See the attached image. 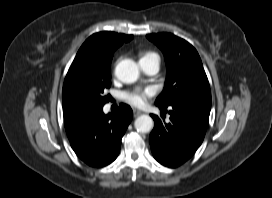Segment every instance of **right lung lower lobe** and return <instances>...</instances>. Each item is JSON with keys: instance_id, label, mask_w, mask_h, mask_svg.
I'll list each match as a JSON object with an SVG mask.
<instances>
[{"instance_id": "1", "label": "right lung lower lobe", "mask_w": 272, "mask_h": 198, "mask_svg": "<svg viewBox=\"0 0 272 198\" xmlns=\"http://www.w3.org/2000/svg\"><path fill=\"white\" fill-rule=\"evenodd\" d=\"M132 117V109L126 104L107 115L103 107L85 108L64 118V125L77 156L90 166L102 167L117 158Z\"/></svg>"}]
</instances>
